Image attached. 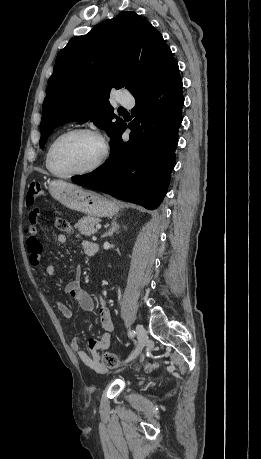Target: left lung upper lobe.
Instances as JSON below:
<instances>
[{"label":"left lung upper lobe","instance_id":"5c2ea615","mask_svg":"<svg viewBox=\"0 0 261 459\" xmlns=\"http://www.w3.org/2000/svg\"><path fill=\"white\" fill-rule=\"evenodd\" d=\"M176 61L161 33L135 12L72 38L56 58L40 124V147L53 129L69 120L91 119L113 141L124 122L109 103L112 88L133 96L149 87Z\"/></svg>","mask_w":261,"mask_h":459}]
</instances>
